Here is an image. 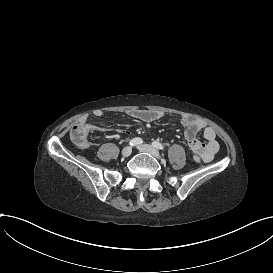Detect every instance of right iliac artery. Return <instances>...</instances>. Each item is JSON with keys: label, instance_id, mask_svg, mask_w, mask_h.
I'll list each match as a JSON object with an SVG mask.
<instances>
[{"label": "right iliac artery", "instance_id": "obj_1", "mask_svg": "<svg viewBox=\"0 0 273 273\" xmlns=\"http://www.w3.org/2000/svg\"><path fill=\"white\" fill-rule=\"evenodd\" d=\"M142 139L141 138H134L129 142L130 146H138L142 143Z\"/></svg>", "mask_w": 273, "mask_h": 273}]
</instances>
